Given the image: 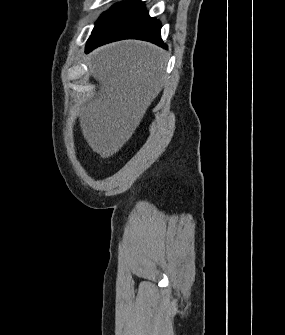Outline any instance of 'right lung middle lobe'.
Instances as JSON below:
<instances>
[{"label":"right lung middle lobe","instance_id":"obj_1","mask_svg":"<svg viewBox=\"0 0 285 335\" xmlns=\"http://www.w3.org/2000/svg\"><path fill=\"white\" fill-rule=\"evenodd\" d=\"M120 3L114 5L112 8H110L108 11H106L105 13H103V15L99 18V20L97 21L96 25L101 22L104 18H106L110 13H112L115 8L119 5Z\"/></svg>","mask_w":285,"mask_h":335}]
</instances>
